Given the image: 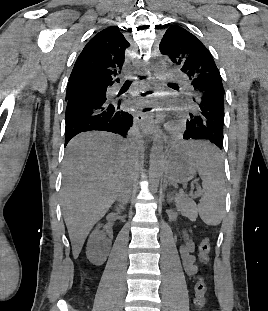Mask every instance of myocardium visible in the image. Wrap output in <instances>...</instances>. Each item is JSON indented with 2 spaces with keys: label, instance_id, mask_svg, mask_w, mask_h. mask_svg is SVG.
I'll list each match as a JSON object with an SVG mask.
<instances>
[{
  "label": "myocardium",
  "instance_id": "1",
  "mask_svg": "<svg viewBox=\"0 0 268 311\" xmlns=\"http://www.w3.org/2000/svg\"><path fill=\"white\" fill-rule=\"evenodd\" d=\"M171 130H172V131H175V128H172Z\"/></svg>",
  "mask_w": 268,
  "mask_h": 311
}]
</instances>
